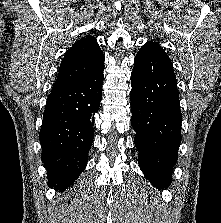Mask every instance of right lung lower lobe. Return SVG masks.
Listing matches in <instances>:
<instances>
[{"label": "right lung lower lobe", "mask_w": 221, "mask_h": 223, "mask_svg": "<svg viewBox=\"0 0 221 223\" xmlns=\"http://www.w3.org/2000/svg\"><path fill=\"white\" fill-rule=\"evenodd\" d=\"M103 71L104 66L77 83L52 89L48 96L39 139L51 188L67 189L87 165Z\"/></svg>", "instance_id": "98d812e1"}]
</instances>
